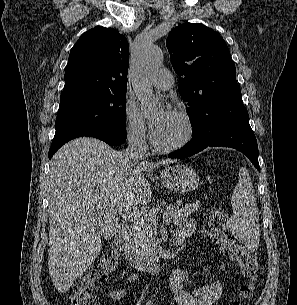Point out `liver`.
Listing matches in <instances>:
<instances>
[{"label": "liver", "mask_w": 297, "mask_h": 305, "mask_svg": "<svg viewBox=\"0 0 297 305\" xmlns=\"http://www.w3.org/2000/svg\"><path fill=\"white\" fill-rule=\"evenodd\" d=\"M171 162H133L126 152L90 137L71 140L56 152L48 176V269L59 293L67 292L94 262L101 237L116 234L118 216L150 202L144 172Z\"/></svg>", "instance_id": "liver-1"}]
</instances>
